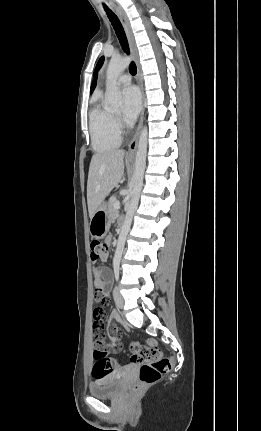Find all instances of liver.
Returning <instances> with one entry per match:
<instances>
[{
  "label": "liver",
  "instance_id": "6515ba94",
  "mask_svg": "<svg viewBox=\"0 0 261 431\" xmlns=\"http://www.w3.org/2000/svg\"><path fill=\"white\" fill-rule=\"evenodd\" d=\"M124 155L123 150H115L92 156L87 181V203L90 218L120 182L124 173Z\"/></svg>",
  "mask_w": 261,
  "mask_h": 431
}]
</instances>
